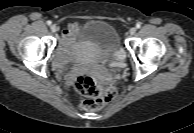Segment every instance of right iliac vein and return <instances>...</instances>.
<instances>
[{
	"mask_svg": "<svg viewBox=\"0 0 194 133\" xmlns=\"http://www.w3.org/2000/svg\"><path fill=\"white\" fill-rule=\"evenodd\" d=\"M50 29L53 33H56L58 31V27L56 25H51Z\"/></svg>",
	"mask_w": 194,
	"mask_h": 133,
	"instance_id": "1",
	"label": "right iliac vein"
}]
</instances>
